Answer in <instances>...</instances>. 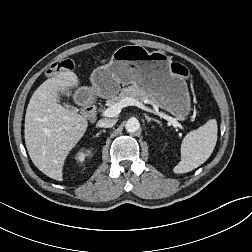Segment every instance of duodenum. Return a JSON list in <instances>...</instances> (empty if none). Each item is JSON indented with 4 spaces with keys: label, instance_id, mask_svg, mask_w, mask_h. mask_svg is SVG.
<instances>
[{
    "label": "duodenum",
    "instance_id": "410a0bca",
    "mask_svg": "<svg viewBox=\"0 0 252 252\" xmlns=\"http://www.w3.org/2000/svg\"><path fill=\"white\" fill-rule=\"evenodd\" d=\"M86 112H87V114H88L91 118L95 117V116H96V107H95V105H94V104H89V105L87 106V108H86Z\"/></svg>",
    "mask_w": 252,
    "mask_h": 252
}]
</instances>
